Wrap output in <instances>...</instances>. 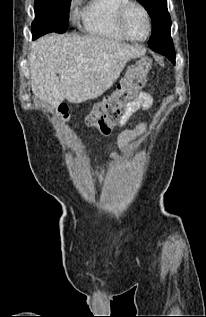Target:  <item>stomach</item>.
<instances>
[{
  "label": "stomach",
  "instance_id": "obj_1",
  "mask_svg": "<svg viewBox=\"0 0 206 317\" xmlns=\"http://www.w3.org/2000/svg\"><path fill=\"white\" fill-rule=\"evenodd\" d=\"M133 65H136L135 63H128L127 64V68H132ZM108 77L109 78H112L113 77V74L112 73H109L108 74ZM113 86V83L112 82H101L100 85L98 86V89L99 90H108L109 87H112ZM118 87V86H117Z\"/></svg>",
  "mask_w": 206,
  "mask_h": 317
}]
</instances>
